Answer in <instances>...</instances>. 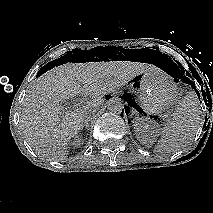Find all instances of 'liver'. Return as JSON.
<instances>
[{
	"instance_id": "1",
	"label": "liver",
	"mask_w": 213,
	"mask_h": 213,
	"mask_svg": "<svg viewBox=\"0 0 213 213\" xmlns=\"http://www.w3.org/2000/svg\"><path fill=\"white\" fill-rule=\"evenodd\" d=\"M155 71L153 65L131 61L66 63L48 70L35 80L23 100L20 128L26 141L42 158L65 161L71 138L83 128L85 107L97 108L107 92L138 74ZM80 93L92 100L62 112L60 103Z\"/></svg>"
}]
</instances>
